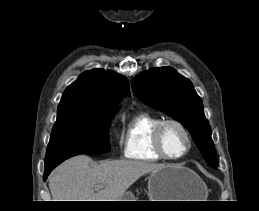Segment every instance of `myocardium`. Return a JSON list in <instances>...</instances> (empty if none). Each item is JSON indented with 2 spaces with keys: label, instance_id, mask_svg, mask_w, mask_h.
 <instances>
[{
  "label": "myocardium",
  "instance_id": "obj_1",
  "mask_svg": "<svg viewBox=\"0 0 259 211\" xmlns=\"http://www.w3.org/2000/svg\"><path fill=\"white\" fill-rule=\"evenodd\" d=\"M168 125L177 126L182 131V133L184 134L186 141H187L185 150L178 156H170L164 148L163 131ZM153 144H154L155 150L164 159L176 161V160H180V159L184 158L190 152V150L192 148V144H193V139H192V136H191L189 130L186 128V126L182 122H180L179 120H176V119H166V120H162L156 126V128L154 130V134H153Z\"/></svg>",
  "mask_w": 259,
  "mask_h": 211
}]
</instances>
